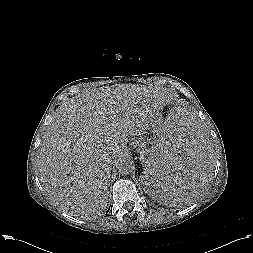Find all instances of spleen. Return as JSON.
Segmentation results:
<instances>
[{"mask_svg":"<svg viewBox=\"0 0 253 253\" xmlns=\"http://www.w3.org/2000/svg\"><path fill=\"white\" fill-rule=\"evenodd\" d=\"M143 164L142 183L152 199L180 203L192 199L211 179V147L204 118L179 107L164 119Z\"/></svg>","mask_w":253,"mask_h":253,"instance_id":"1","label":"spleen"}]
</instances>
